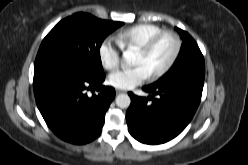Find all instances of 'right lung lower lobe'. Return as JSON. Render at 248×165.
<instances>
[{"label": "right lung lower lobe", "mask_w": 248, "mask_h": 165, "mask_svg": "<svg viewBox=\"0 0 248 165\" xmlns=\"http://www.w3.org/2000/svg\"><path fill=\"white\" fill-rule=\"evenodd\" d=\"M105 75L92 76L74 62H54L34 69L36 103L48 127L62 140L85 144L97 138L115 89ZM96 88L89 97L86 89Z\"/></svg>", "instance_id": "98d812e1"}]
</instances>
